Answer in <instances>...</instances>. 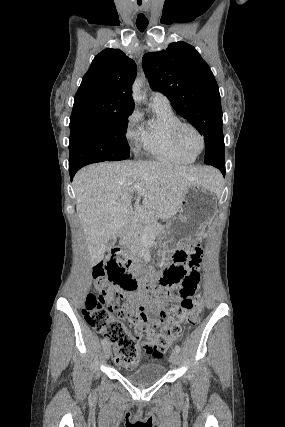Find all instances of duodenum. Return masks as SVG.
Here are the masks:
<instances>
[{"instance_id":"1","label":"duodenum","mask_w":285,"mask_h":427,"mask_svg":"<svg viewBox=\"0 0 285 427\" xmlns=\"http://www.w3.org/2000/svg\"><path fill=\"white\" fill-rule=\"evenodd\" d=\"M119 227H120V229H122V230H124V229H126V228H131L132 230H134L135 232H141L142 231V228L140 227V226H137V225H134V224H130V225H128V224H125V223H121L120 225H119Z\"/></svg>"}]
</instances>
